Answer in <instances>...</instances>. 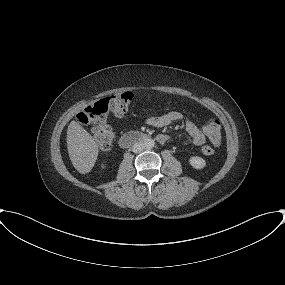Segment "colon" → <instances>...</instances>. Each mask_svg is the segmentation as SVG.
Returning a JSON list of instances; mask_svg holds the SVG:
<instances>
[{
  "mask_svg": "<svg viewBox=\"0 0 285 285\" xmlns=\"http://www.w3.org/2000/svg\"><path fill=\"white\" fill-rule=\"evenodd\" d=\"M133 100V94L122 92L105 97L92 105L87 106L77 116L78 121L93 128L96 134L99 150L102 153L108 152L114 141V134L107 124L110 114L122 116L126 114ZM203 129L214 146L221 142V125L217 120L210 119L204 125ZM215 152L213 146L206 145L202 148L204 155L210 156Z\"/></svg>",
  "mask_w": 285,
  "mask_h": 285,
  "instance_id": "colon-1",
  "label": "colon"
}]
</instances>
